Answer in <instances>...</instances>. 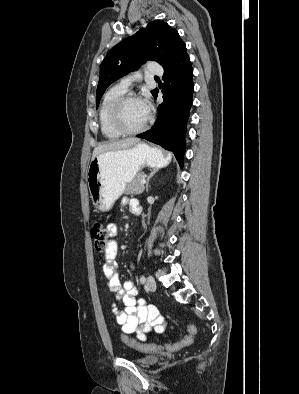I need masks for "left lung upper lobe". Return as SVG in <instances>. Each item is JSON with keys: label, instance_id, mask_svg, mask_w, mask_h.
Returning <instances> with one entry per match:
<instances>
[{"label": "left lung upper lobe", "instance_id": "1", "mask_svg": "<svg viewBox=\"0 0 299 394\" xmlns=\"http://www.w3.org/2000/svg\"><path fill=\"white\" fill-rule=\"evenodd\" d=\"M184 46L178 32L160 20L150 22L146 28H141L135 35L114 46L100 66L96 107L106 88L114 81L148 60L157 61L164 68L174 61Z\"/></svg>", "mask_w": 299, "mask_h": 394}]
</instances>
